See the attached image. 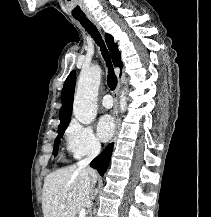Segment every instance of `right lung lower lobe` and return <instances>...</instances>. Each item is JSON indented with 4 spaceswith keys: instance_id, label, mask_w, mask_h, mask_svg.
<instances>
[{
    "instance_id": "right-lung-lower-lobe-1",
    "label": "right lung lower lobe",
    "mask_w": 211,
    "mask_h": 217,
    "mask_svg": "<svg viewBox=\"0 0 211 217\" xmlns=\"http://www.w3.org/2000/svg\"><path fill=\"white\" fill-rule=\"evenodd\" d=\"M113 150V143H110L91 163L90 166L96 169L101 176L107 170Z\"/></svg>"
}]
</instances>
